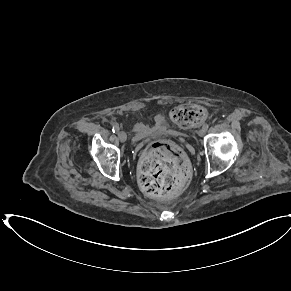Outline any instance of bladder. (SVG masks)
<instances>
[{"instance_id": "bladder-1", "label": "bladder", "mask_w": 291, "mask_h": 291, "mask_svg": "<svg viewBox=\"0 0 291 291\" xmlns=\"http://www.w3.org/2000/svg\"><path fill=\"white\" fill-rule=\"evenodd\" d=\"M171 131V128L166 123L162 115H157L153 118L151 124L136 125L134 133L139 140L145 139L151 135L165 134Z\"/></svg>"}]
</instances>
